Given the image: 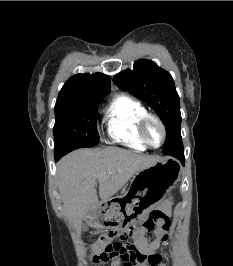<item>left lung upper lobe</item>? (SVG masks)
<instances>
[{
  "label": "left lung upper lobe",
  "mask_w": 233,
  "mask_h": 266,
  "mask_svg": "<svg viewBox=\"0 0 233 266\" xmlns=\"http://www.w3.org/2000/svg\"><path fill=\"white\" fill-rule=\"evenodd\" d=\"M113 81L121 89L147 103L159 115L167 133L164 154L181 143L179 96L173 78L167 71L153 61L140 59L134 64L133 70L120 72Z\"/></svg>",
  "instance_id": "5c2ea615"
}]
</instances>
